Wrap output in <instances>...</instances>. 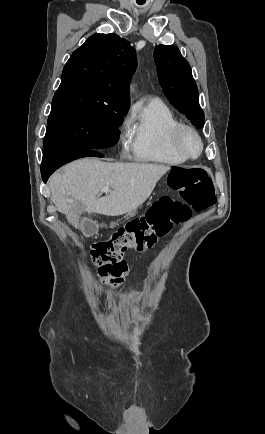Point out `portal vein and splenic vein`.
<instances>
[{
    "mask_svg": "<svg viewBox=\"0 0 265 434\" xmlns=\"http://www.w3.org/2000/svg\"><path fill=\"white\" fill-rule=\"evenodd\" d=\"M101 192H110L109 186H104V188H102ZM68 202H73V200H68Z\"/></svg>",
    "mask_w": 265,
    "mask_h": 434,
    "instance_id": "18ae733b",
    "label": "portal vein and splenic vein"
}]
</instances>
